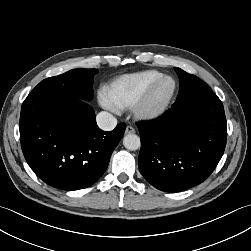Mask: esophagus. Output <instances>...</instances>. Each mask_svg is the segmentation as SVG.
Segmentation results:
<instances>
[{"mask_svg":"<svg viewBox=\"0 0 251 251\" xmlns=\"http://www.w3.org/2000/svg\"><path fill=\"white\" fill-rule=\"evenodd\" d=\"M133 133H135V129L132 126H127L125 134H133Z\"/></svg>","mask_w":251,"mask_h":251,"instance_id":"1","label":"esophagus"}]
</instances>
